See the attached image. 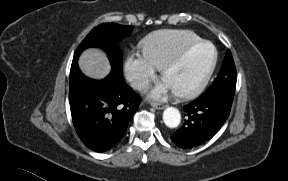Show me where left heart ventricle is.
Masks as SVG:
<instances>
[{
  "label": "left heart ventricle",
  "mask_w": 288,
  "mask_h": 181,
  "mask_svg": "<svg viewBox=\"0 0 288 181\" xmlns=\"http://www.w3.org/2000/svg\"><path fill=\"white\" fill-rule=\"evenodd\" d=\"M213 59V47L203 45L190 53L181 65L166 74L164 80L173 90L189 88L206 75Z\"/></svg>",
  "instance_id": "b2bd125f"
}]
</instances>
